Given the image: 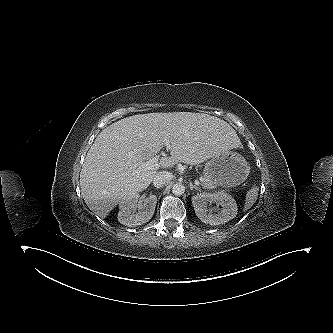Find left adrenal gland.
<instances>
[{
	"mask_svg": "<svg viewBox=\"0 0 333 333\" xmlns=\"http://www.w3.org/2000/svg\"><path fill=\"white\" fill-rule=\"evenodd\" d=\"M189 186H190V190L195 189V190H198V191L201 192V188H200V187H198V186H196V185H192V184H190Z\"/></svg>",
	"mask_w": 333,
	"mask_h": 333,
	"instance_id": "a2214340",
	"label": "left adrenal gland"
}]
</instances>
